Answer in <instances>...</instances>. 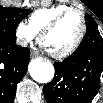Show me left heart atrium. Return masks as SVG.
Listing matches in <instances>:
<instances>
[{
    "label": "left heart atrium",
    "instance_id": "obj_1",
    "mask_svg": "<svg viewBox=\"0 0 103 103\" xmlns=\"http://www.w3.org/2000/svg\"><path fill=\"white\" fill-rule=\"evenodd\" d=\"M41 47L47 49L46 44L43 41L41 42Z\"/></svg>",
    "mask_w": 103,
    "mask_h": 103
}]
</instances>
